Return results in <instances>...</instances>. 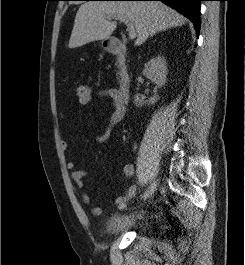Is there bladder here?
Masks as SVG:
<instances>
[{
  "label": "bladder",
  "mask_w": 245,
  "mask_h": 265,
  "mask_svg": "<svg viewBox=\"0 0 245 265\" xmlns=\"http://www.w3.org/2000/svg\"><path fill=\"white\" fill-rule=\"evenodd\" d=\"M146 225V219L141 214L123 215L110 214L104 224L105 234H117L120 232L139 229Z\"/></svg>",
  "instance_id": "obj_1"
}]
</instances>
